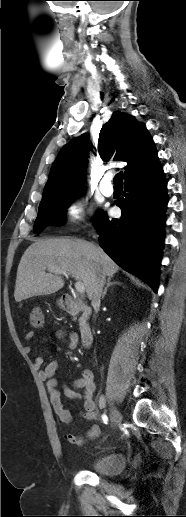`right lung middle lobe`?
I'll return each mask as SVG.
<instances>
[{
    "instance_id": "right-lung-middle-lobe-1",
    "label": "right lung middle lobe",
    "mask_w": 186,
    "mask_h": 517,
    "mask_svg": "<svg viewBox=\"0 0 186 517\" xmlns=\"http://www.w3.org/2000/svg\"><path fill=\"white\" fill-rule=\"evenodd\" d=\"M77 192L43 199L39 205L38 216L34 223V231L40 233L45 226L61 224L62 215Z\"/></svg>"
}]
</instances>
